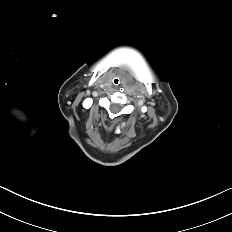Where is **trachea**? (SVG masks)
I'll use <instances>...</instances> for the list:
<instances>
[{
  "label": "trachea",
  "mask_w": 232,
  "mask_h": 232,
  "mask_svg": "<svg viewBox=\"0 0 232 232\" xmlns=\"http://www.w3.org/2000/svg\"><path fill=\"white\" fill-rule=\"evenodd\" d=\"M111 82L114 86L118 87L121 84V79L119 77H114Z\"/></svg>",
  "instance_id": "1"
}]
</instances>
